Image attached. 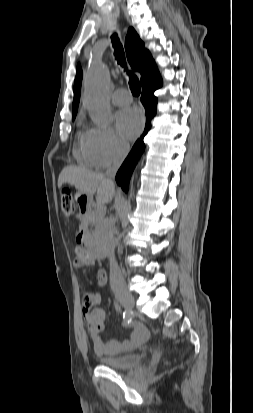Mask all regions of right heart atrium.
Listing matches in <instances>:
<instances>
[{"instance_id":"obj_1","label":"right heart atrium","mask_w":253,"mask_h":413,"mask_svg":"<svg viewBox=\"0 0 253 413\" xmlns=\"http://www.w3.org/2000/svg\"><path fill=\"white\" fill-rule=\"evenodd\" d=\"M84 143L97 167H107L120 160L128 144L111 127H92L84 135Z\"/></svg>"}]
</instances>
